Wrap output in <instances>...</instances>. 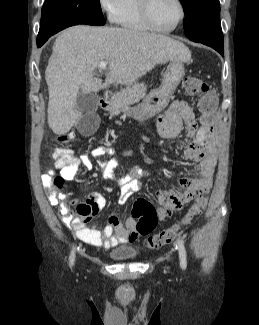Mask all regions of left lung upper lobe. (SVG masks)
Wrapping results in <instances>:
<instances>
[{
	"label": "left lung upper lobe",
	"instance_id": "obj_1",
	"mask_svg": "<svg viewBox=\"0 0 259 325\" xmlns=\"http://www.w3.org/2000/svg\"><path fill=\"white\" fill-rule=\"evenodd\" d=\"M185 12L183 26L190 40L212 30H220L219 0H180Z\"/></svg>",
	"mask_w": 259,
	"mask_h": 325
}]
</instances>
